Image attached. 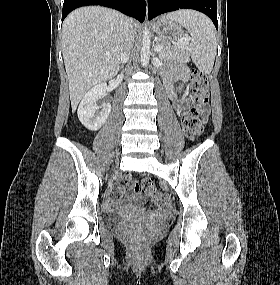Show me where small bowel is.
Returning <instances> with one entry per match:
<instances>
[{"instance_id":"c3829d8e","label":"small bowel","mask_w":280,"mask_h":285,"mask_svg":"<svg viewBox=\"0 0 280 285\" xmlns=\"http://www.w3.org/2000/svg\"><path fill=\"white\" fill-rule=\"evenodd\" d=\"M187 79V70L182 66H176L170 73L164 76V84L167 88L170 98L176 103V111L178 114H181L187 106L188 97L184 95L179 98L177 95L176 86L184 85ZM203 115H208V109L203 110Z\"/></svg>"}]
</instances>
